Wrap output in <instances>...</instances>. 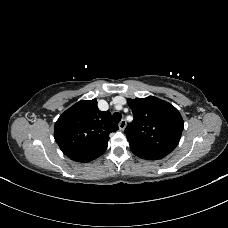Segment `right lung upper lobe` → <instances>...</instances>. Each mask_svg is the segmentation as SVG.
Wrapping results in <instances>:
<instances>
[{
  "mask_svg": "<svg viewBox=\"0 0 228 228\" xmlns=\"http://www.w3.org/2000/svg\"><path fill=\"white\" fill-rule=\"evenodd\" d=\"M118 130L109 111L102 112L96 99L81 100L56 121L54 138L61 151L77 162L101 156L108 146L109 134Z\"/></svg>",
  "mask_w": 228,
  "mask_h": 228,
  "instance_id": "cb5924a9",
  "label": "right lung upper lobe"
}]
</instances>
